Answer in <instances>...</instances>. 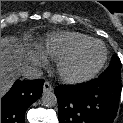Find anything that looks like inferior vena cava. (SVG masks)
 <instances>
[{"label": "inferior vena cava", "instance_id": "602c4592", "mask_svg": "<svg viewBox=\"0 0 123 123\" xmlns=\"http://www.w3.org/2000/svg\"><path fill=\"white\" fill-rule=\"evenodd\" d=\"M22 75L28 80H35L41 78L42 71L37 67L28 66L22 70Z\"/></svg>", "mask_w": 123, "mask_h": 123}]
</instances>
